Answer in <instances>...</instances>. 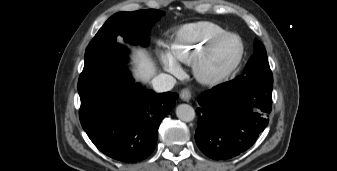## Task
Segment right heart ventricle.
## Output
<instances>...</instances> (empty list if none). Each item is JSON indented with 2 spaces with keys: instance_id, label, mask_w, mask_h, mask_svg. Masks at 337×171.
<instances>
[{
  "instance_id": "obj_1",
  "label": "right heart ventricle",
  "mask_w": 337,
  "mask_h": 171,
  "mask_svg": "<svg viewBox=\"0 0 337 171\" xmlns=\"http://www.w3.org/2000/svg\"><path fill=\"white\" fill-rule=\"evenodd\" d=\"M227 32L223 26L210 21L185 24L169 42L170 55L177 62L189 65L211 39Z\"/></svg>"
}]
</instances>
